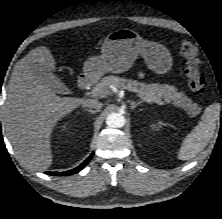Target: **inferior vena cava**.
<instances>
[{
    "instance_id": "1",
    "label": "inferior vena cava",
    "mask_w": 222,
    "mask_h": 219,
    "mask_svg": "<svg viewBox=\"0 0 222 219\" xmlns=\"http://www.w3.org/2000/svg\"><path fill=\"white\" fill-rule=\"evenodd\" d=\"M102 106L103 104L98 100H86L83 103V107L93 108V109H96L97 111L100 110Z\"/></svg>"
}]
</instances>
